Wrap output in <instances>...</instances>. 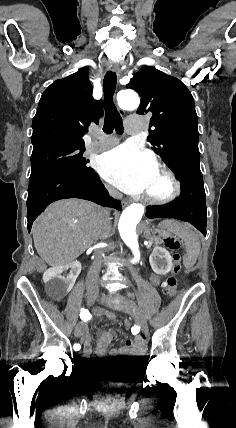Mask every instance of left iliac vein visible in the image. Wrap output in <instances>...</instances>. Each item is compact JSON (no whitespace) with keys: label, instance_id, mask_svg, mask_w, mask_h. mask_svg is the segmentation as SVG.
<instances>
[{"label":"left iliac vein","instance_id":"1","mask_svg":"<svg viewBox=\"0 0 236 428\" xmlns=\"http://www.w3.org/2000/svg\"><path fill=\"white\" fill-rule=\"evenodd\" d=\"M99 299L101 298L103 301L104 300H111V301H124V304H130V310H132L134 313V316H136V318H135V323L136 324H140L141 325V330H142V332L143 333H146L147 332V328H148V325L145 323V321H144V318L142 317V316H139V309H138V307H137V303L136 302H134L131 298H125V296H117L116 298L113 296H111V297H107L106 298V293L105 292H100L99 294ZM111 298V299H110Z\"/></svg>","mask_w":236,"mask_h":428}]
</instances>
